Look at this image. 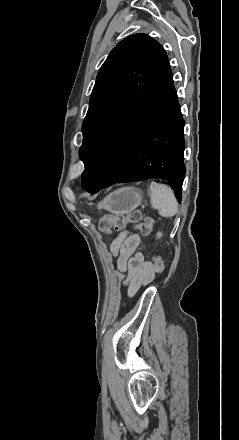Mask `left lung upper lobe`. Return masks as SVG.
Here are the masks:
<instances>
[{"instance_id": "obj_1", "label": "left lung upper lobe", "mask_w": 239, "mask_h": 440, "mask_svg": "<svg viewBox=\"0 0 239 440\" xmlns=\"http://www.w3.org/2000/svg\"><path fill=\"white\" fill-rule=\"evenodd\" d=\"M167 63L164 48L146 34L131 35L113 48L98 72L82 126L83 143L79 155L84 165Z\"/></svg>"}]
</instances>
